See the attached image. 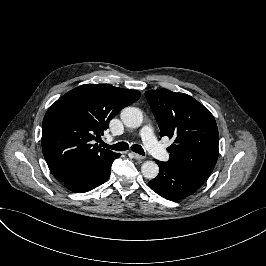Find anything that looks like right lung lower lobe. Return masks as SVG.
Returning a JSON list of instances; mask_svg holds the SVG:
<instances>
[{"label":"right lung lower lobe","instance_id":"right-lung-lower-lobe-1","mask_svg":"<svg viewBox=\"0 0 266 266\" xmlns=\"http://www.w3.org/2000/svg\"><path fill=\"white\" fill-rule=\"evenodd\" d=\"M120 156L115 153L106 160L85 163L81 165L73 175L63 182L72 192L83 193L103 184L110 176L112 162Z\"/></svg>","mask_w":266,"mask_h":266}]
</instances>
